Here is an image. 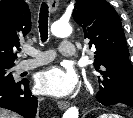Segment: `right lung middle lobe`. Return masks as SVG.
Instances as JSON below:
<instances>
[{
    "instance_id": "1",
    "label": "right lung middle lobe",
    "mask_w": 133,
    "mask_h": 118,
    "mask_svg": "<svg viewBox=\"0 0 133 118\" xmlns=\"http://www.w3.org/2000/svg\"><path fill=\"white\" fill-rule=\"evenodd\" d=\"M14 64H0V85H7L16 83L12 75V68Z\"/></svg>"
}]
</instances>
